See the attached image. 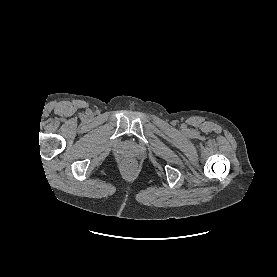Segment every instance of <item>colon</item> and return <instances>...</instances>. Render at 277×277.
I'll return each mask as SVG.
<instances>
[{
    "instance_id": "colon-1",
    "label": "colon",
    "mask_w": 277,
    "mask_h": 277,
    "mask_svg": "<svg viewBox=\"0 0 277 277\" xmlns=\"http://www.w3.org/2000/svg\"><path fill=\"white\" fill-rule=\"evenodd\" d=\"M124 165L128 168H133L134 167V162L132 160L128 159L124 162Z\"/></svg>"
}]
</instances>
